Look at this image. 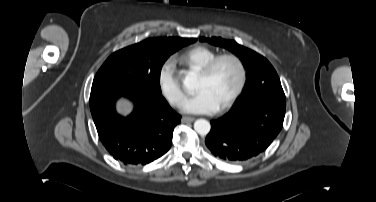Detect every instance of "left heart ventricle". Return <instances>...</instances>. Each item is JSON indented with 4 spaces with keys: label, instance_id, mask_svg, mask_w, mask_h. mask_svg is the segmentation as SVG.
I'll return each mask as SVG.
<instances>
[{
    "label": "left heart ventricle",
    "instance_id": "obj_1",
    "mask_svg": "<svg viewBox=\"0 0 376 202\" xmlns=\"http://www.w3.org/2000/svg\"><path fill=\"white\" fill-rule=\"evenodd\" d=\"M239 80L237 66L230 60L220 62L209 77L198 75L196 90L206 89L220 107L231 96Z\"/></svg>",
    "mask_w": 376,
    "mask_h": 202
}]
</instances>
